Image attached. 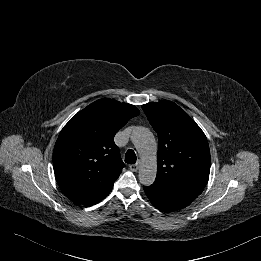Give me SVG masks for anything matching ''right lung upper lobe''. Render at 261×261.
<instances>
[{
  "label": "right lung upper lobe",
  "instance_id": "cb5924a9",
  "mask_svg": "<svg viewBox=\"0 0 261 261\" xmlns=\"http://www.w3.org/2000/svg\"><path fill=\"white\" fill-rule=\"evenodd\" d=\"M139 114L134 105L103 98L64 126L54 147L53 167L65 196L88 207L110 193L124 167L114 135Z\"/></svg>",
  "mask_w": 261,
  "mask_h": 261
}]
</instances>
